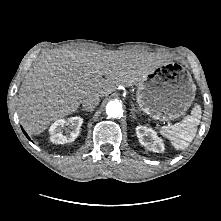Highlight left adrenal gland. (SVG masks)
Returning <instances> with one entry per match:
<instances>
[{"instance_id":"left-adrenal-gland-1","label":"left adrenal gland","mask_w":221,"mask_h":221,"mask_svg":"<svg viewBox=\"0 0 221 221\" xmlns=\"http://www.w3.org/2000/svg\"><path fill=\"white\" fill-rule=\"evenodd\" d=\"M131 106H132V108L130 109V111H131L132 117L135 119L136 118V116H135L136 109H135L134 104L132 102H131Z\"/></svg>"}]
</instances>
